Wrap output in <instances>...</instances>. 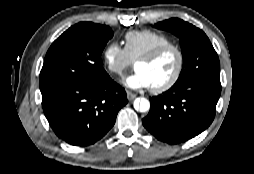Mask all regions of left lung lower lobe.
I'll list each match as a JSON object with an SVG mask.
<instances>
[{"label": "left lung lower lobe", "mask_w": 254, "mask_h": 174, "mask_svg": "<svg viewBox=\"0 0 254 174\" xmlns=\"http://www.w3.org/2000/svg\"><path fill=\"white\" fill-rule=\"evenodd\" d=\"M220 93V80H198L173 86L150 98V112L142 124L160 141L185 142L212 123Z\"/></svg>", "instance_id": "0a47b994"}]
</instances>
